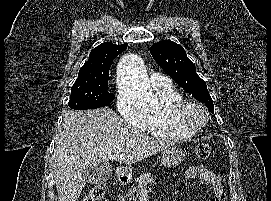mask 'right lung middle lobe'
<instances>
[{
    "mask_svg": "<svg viewBox=\"0 0 271 201\" xmlns=\"http://www.w3.org/2000/svg\"><path fill=\"white\" fill-rule=\"evenodd\" d=\"M109 74L78 77L71 88L69 107L76 110L95 109L108 105L115 98L107 91Z\"/></svg>",
    "mask_w": 271,
    "mask_h": 201,
    "instance_id": "obj_1",
    "label": "right lung middle lobe"
}]
</instances>
